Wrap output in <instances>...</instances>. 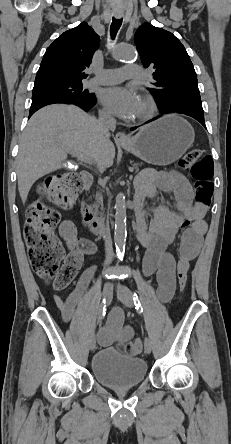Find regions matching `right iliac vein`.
Instances as JSON below:
<instances>
[{"label": "right iliac vein", "mask_w": 231, "mask_h": 444, "mask_svg": "<svg viewBox=\"0 0 231 444\" xmlns=\"http://www.w3.org/2000/svg\"><path fill=\"white\" fill-rule=\"evenodd\" d=\"M109 292V285L105 286L104 288V292H103V297H105ZM103 308V304H101V310ZM96 348V339H95V335L92 334L91 339H90V349L92 351H94Z\"/></svg>", "instance_id": "63e3f726"}]
</instances>
